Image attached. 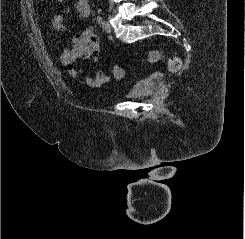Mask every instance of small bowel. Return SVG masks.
I'll list each match as a JSON object with an SVG mask.
<instances>
[{"instance_id":"c3829d8e","label":"small bowel","mask_w":245,"mask_h":239,"mask_svg":"<svg viewBox=\"0 0 245 239\" xmlns=\"http://www.w3.org/2000/svg\"><path fill=\"white\" fill-rule=\"evenodd\" d=\"M61 3L64 0H55ZM77 12L80 16L87 18L91 14L89 0H78L76 4ZM52 26L57 33L65 30L64 16L55 14L52 17ZM100 45L96 33L92 27L85 29L78 37L73 38L71 48L65 49L61 55V62L67 66L69 76L90 88H99L108 83L111 76L97 68ZM78 61H89L93 64V72L86 74L83 79L80 77L85 70L77 66Z\"/></svg>"}]
</instances>
